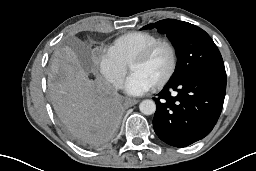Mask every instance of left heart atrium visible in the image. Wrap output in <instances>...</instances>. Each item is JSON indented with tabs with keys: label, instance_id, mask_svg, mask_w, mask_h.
I'll use <instances>...</instances> for the list:
<instances>
[{
	"label": "left heart atrium",
	"instance_id": "obj_1",
	"mask_svg": "<svg viewBox=\"0 0 256 171\" xmlns=\"http://www.w3.org/2000/svg\"><path fill=\"white\" fill-rule=\"evenodd\" d=\"M153 86L154 85L141 74L133 73L125 81L124 90L129 95L139 96L148 92Z\"/></svg>",
	"mask_w": 256,
	"mask_h": 171
}]
</instances>
